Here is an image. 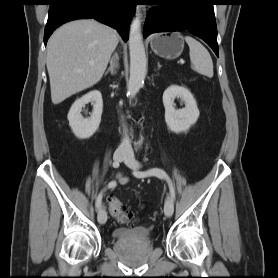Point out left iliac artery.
Wrapping results in <instances>:
<instances>
[{"mask_svg": "<svg viewBox=\"0 0 278 278\" xmlns=\"http://www.w3.org/2000/svg\"><path fill=\"white\" fill-rule=\"evenodd\" d=\"M134 175L136 177L157 176L159 178L165 179L168 183V186H169L171 198H172L173 201L175 200L174 184H173L171 178L168 176V174L164 170H162L160 168H152V169H149L147 171H135Z\"/></svg>", "mask_w": 278, "mask_h": 278, "instance_id": "left-iliac-artery-1", "label": "left iliac artery"}]
</instances>
